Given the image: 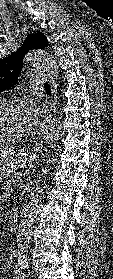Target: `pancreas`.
<instances>
[{
	"label": "pancreas",
	"mask_w": 113,
	"mask_h": 279,
	"mask_svg": "<svg viewBox=\"0 0 113 279\" xmlns=\"http://www.w3.org/2000/svg\"><path fill=\"white\" fill-rule=\"evenodd\" d=\"M22 174H16L11 180L6 181V184L1 188L3 196L7 197L12 192L13 186L16 185L19 180H21Z\"/></svg>",
	"instance_id": "obj_1"
}]
</instances>
